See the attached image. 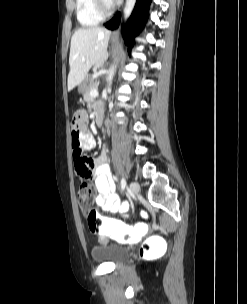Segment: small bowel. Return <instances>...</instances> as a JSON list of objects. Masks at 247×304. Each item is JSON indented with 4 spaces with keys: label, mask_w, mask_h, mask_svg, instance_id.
Returning a JSON list of instances; mask_svg holds the SVG:
<instances>
[{
    "label": "small bowel",
    "mask_w": 247,
    "mask_h": 304,
    "mask_svg": "<svg viewBox=\"0 0 247 304\" xmlns=\"http://www.w3.org/2000/svg\"><path fill=\"white\" fill-rule=\"evenodd\" d=\"M101 108L97 106L96 109ZM84 112H71V151L75 160V169L78 175L84 179L93 180L97 195L96 205L104 212L113 214H123L128 209V202L119 198L116 193V185L109 165L106 163L108 151L104 148L97 159L86 157L85 150H91L95 147V139L92 134L82 127L85 120ZM77 159H84L82 165L77 163Z\"/></svg>",
    "instance_id": "small-bowel-1"
}]
</instances>
